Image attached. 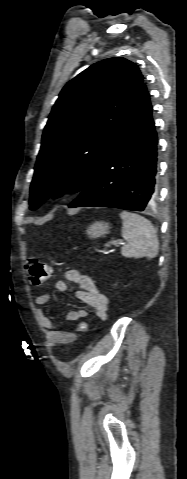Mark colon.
<instances>
[{
    "instance_id": "colon-1",
    "label": "colon",
    "mask_w": 187,
    "mask_h": 479,
    "mask_svg": "<svg viewBox=\"0 0 187 479\" xmlns=\"http://www.w3.org/2000/svg\"><path fill=\"white\" fill-rule=\"evenodd\" d=\"M25 270L29 282L35 286L41 285L49 277V265L35 257H30L25 261ZM88 329V322L81 321L76 328V332L83 335L88 332Z\"/></svg>"
}]
</instances>
